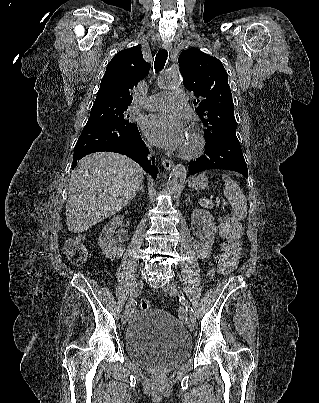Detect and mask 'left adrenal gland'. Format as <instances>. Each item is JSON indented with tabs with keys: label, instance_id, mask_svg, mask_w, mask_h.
<instances>
[{
	"label": "left adrenal gland",
	"instance_id": "obj_1",
	"mask_svg": "<svg viewBox=\"0 0 319 403\" xmlns=\"http://www.w3.org/2000/svg\"><path fill=\"white\" fill-rule=\"evenodd\" d=\"M185 202H190V196L187 195Z\"/></svg>",
	"mask_w": 319,
	"mask_h": 403
}]
</instances>
